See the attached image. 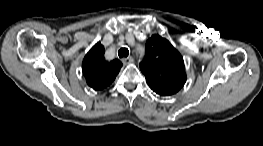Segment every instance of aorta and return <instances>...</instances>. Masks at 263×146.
<instances>
[{
  "mask_svg": "<svg viewBox=\"0 0 263 146\" xmlns=\"http://www.w3.org/2000/svg\"><path fill=\"white\" fill-rule=\"evenodd\" d=\"M138 51H139V53H140V55L141 56H143L144 55V47L143 46H140V45H138Z\"/></svg>",
  "mask_w": 263,
  "mask_h": 146,
  "instance_id": "obj_1",
  "label": "aorta"
}]
</instances>
